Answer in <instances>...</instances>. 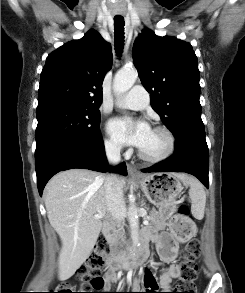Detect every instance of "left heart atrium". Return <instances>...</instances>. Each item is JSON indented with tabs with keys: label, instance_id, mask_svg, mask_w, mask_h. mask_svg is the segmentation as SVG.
Here are the masks:
<instances>
[{
	"label": "left heart atrium",
	"instance_id": "1",
	"mask_svg": "<svg viewBox=\"0 0 245 293\" xmlns=\"http://www.w3.org/2000/svg\"><path fill=\"white\" fill-rule=\"evenodd\" d=\"M108 131L117 141L142 148L152 130L144 121L115 118L109 122Z\"/></svg>",
	"mask_w": 245,
	"mask_h": 293
}]
</instances>
